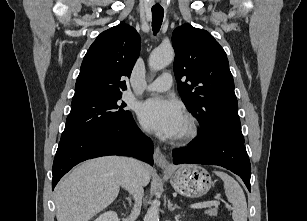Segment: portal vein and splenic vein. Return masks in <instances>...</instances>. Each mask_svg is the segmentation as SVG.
<instances>
[{"instance_id":"1","label":"portal vein and splenic vein","mask_w":307,"mask_h":221,"mask_svg":"<svg viewBox=\"0 0 307 221\" xmlns=\"http://www.w3.org/2000/svg\"><path fill=\"white\" fill-rule=\"evenodd\" d=\"M219 204H220L219 201L201 202V203L192 204L190 208L201 209V208H206V207H211V206H218Z\"/></svg>"}]
</instances>
